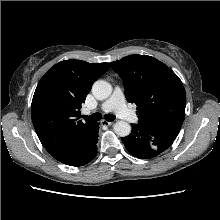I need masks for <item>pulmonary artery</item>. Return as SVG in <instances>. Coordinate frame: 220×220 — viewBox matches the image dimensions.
Listing matches in <instances>:
<instances>
[{
    "mask_svg": "<svg viewBox=\"0 0 220 220\" xmlns=\"http://www.w3.org/2000/svg\"><path fill=\"white\" fill-rule=\"evenodd\" d=\"M100 110L106 113L115 112L118 117L128 122L137 121L135 113L126 107L123 91L119 87H115L111 97L101 105ZM89 112L88 109L85 110V113Z\"/></svg>",
    "mask_w": 220,
    "mask_h": 220,
    "instance_id": "1",
    "label": "pulmonary artery"
}]
</instances>
